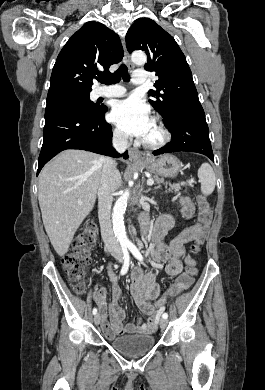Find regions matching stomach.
Here are the masks:
<instances>
[{
  "label": "stomach",
  "mask_w": 265,
  "mask_h": 390,
  "mask_svg": "<svg viewBox=\"0 0 265 390\" xmlns=\"http://www.w3.org/2000/svg\"><path fill=\"white\" fill-rule=\"evenodd\" d=\"M143 166L147 171L153 174L172 178L178 175L182 167V163L177 157L167 154L157 159H147Z\"/></svg>",
  "instance_id": "1"
}]
</instances>
